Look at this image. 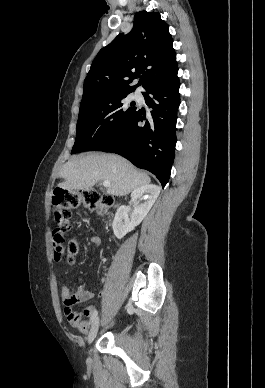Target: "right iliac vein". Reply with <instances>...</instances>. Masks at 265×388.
<instances>
[{
    "instance_id": "right-iliac-vein-1",
    "label": "right iliac vein",
    "mask_w": 265,
    "mask_h": 388,
    "mask_svg": "<svg viewBox=\"0 0 265 388\" xmlns=\"http://www.w3.org/2000/svg\"><path fill=\"white\" fill-rule=\"evenodd\" d=\"M99 324H100L99 318H97L94 321V323L90 329V332L88 334V338H87L88 344H91L93 342V340L95 339L97 332H98V329H99Z\"/></svg>"
}]
</instances>
